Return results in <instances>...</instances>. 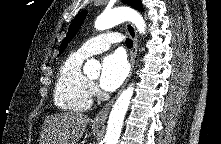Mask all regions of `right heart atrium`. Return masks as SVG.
Wrapping results in <instances>:
<instances>
[{
  "label": "right heart atrium",
  "instance_id": "d8ad5b80",
  "mask_svg": "<svg viewBox=\"0 0 221 144\" xmlns=\"http://www.w3.org/2000/svg\"><path fill=\"white\" fill-rule=\"evenodd\" d=\"M89 91L91 95H95L97 93V87L94 83H90L89 85Z\"/></svg>",
  "mask_w": 221,
  "mask_h": 144
}]
</instances>
